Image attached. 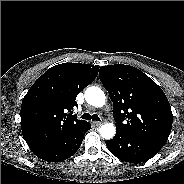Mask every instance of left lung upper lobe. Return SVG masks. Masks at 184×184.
I'll list each match as a JSON object with an SVG mask.
<instances>
[{
  "instance_id": "obj_1",
  "label": "left lung upper lobe",
  "mask_w": 184,
  "mask_h": 184,
  "mask_svg": "<svg viewBox=\"0 0 184 184\" xmlns=\"http://www.w3.org/2000/svg\"><path fill=\"white\" fill-rule=\"evenodd\" d=\"M99 77L113 102L116 129L160 151L173 121L162 89L139 69L124 64L102 66Z\"/></svg>"
}]
</instances>
